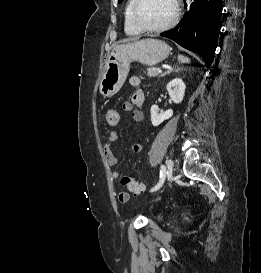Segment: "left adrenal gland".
Masks as SVG:
<instances>
[{
    "label": "left adrenal gland",
    "instance_id": "obj_1",
    "mask_svg": "<svg viewBox=\"0 0 261 273\" xmlns=\"http://www.w3.org/2000/svg\"><path fill=\"white\" fill-rule=\"evenodd\" d=\"M171 71H172V69L168 70L167 72H165L164 74H162V76H164V75L170 73Z\"/></svg>",
    "mask_w": 261,
    "mask_h": 273
}]
</instances>
